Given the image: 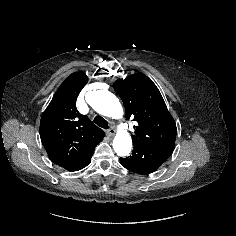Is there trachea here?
Instances as JSON below:
<instances>
[{
  "mask_svg": "<svg viewBox=\"0 0 236 236\" xmlns=\"http://www.w3.org/2000/svg\"><path fill=\"white\" fill-rule=\"evenodd\" d=\"M93 121L96 125H98L99 127L103 128V129L109 128L108 122L101 116H96Z\"/></svg>",
  "mask_w": 236,
  "mask_h": 236,
  "instance_id": "1",
  "label": "trachea"
}]
</instances>
